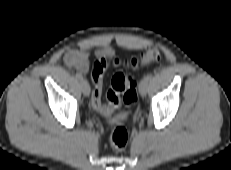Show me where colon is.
I'll use <instances>...</instances> for the list:
<instances>
[{"mask_svg": "<svg viewBox=\"0 0 231 170\" xmlns=\"http://www.w3.org/2000/svg\"><path fill=\"white\" fill-rule=\"evenodd\" d=\"M161 58V52L158 48L147 49L139 58L121 60L113 59L109 62L106 58L97 59L92 67L91 78L94 84L91 103L95 110L108 116L122 101L127 106H133L137 102L136 81L121 71L115 73L111 80V85L107 91L106 98L108 104H103L102 100V82L103 76L109 67L116 69H139L140 67L156 62ZM129 134L126 128L122 126L114 127L110 134L111 147L117 151H122L127 147Z\"/></svg>", "mask_w": 231, "mask_h": 170, "instance_id": "1", "label": "colon"}]
</instances>
